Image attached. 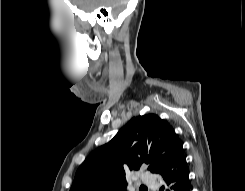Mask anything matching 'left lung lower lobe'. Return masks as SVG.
Segmentation results:
<instances>
[{"instance_id":"left-lung-lower-lobe-1","label":"left lung lower lobe","mask_w":245,"mask_h":191,"mask_svg":"<svg viewBox=\"0 0 245 191\" xmlns=\"http://www.w3.org/2000/svg\"><path fill=\"white\" fill-rule=\"evenodd\" d=\"M159 174L163 183L160 191H191L183 148L178 150L172 162Z\"/></svg>"}]
</instances>
